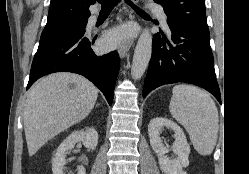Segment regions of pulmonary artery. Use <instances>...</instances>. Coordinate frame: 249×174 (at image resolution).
<instances>
[{
	"label": "pulmonary artery",
	"mask_w": 249,
	"mask_h": 174,
	"mask_svg": "<svg viewBox=\"0 0 249 174\" xmlns=\"http://www.w3.org/2000/svg\"><path fill=\"white\" fill-rule=\"evenodd\" d=\"M149 9H150V11H152L158 17V19L160 20L163 27L166 30H169V27H168V24H167V17H166V14H165L164 10L162 9V7H160L159 5L154 4V3H149ZM95 19H96L95 16H91L89 18V22L93 23L95 21Z\"/></svg>",
	"instance_id": "pulmonary-artery-1"
}]
</instances>
